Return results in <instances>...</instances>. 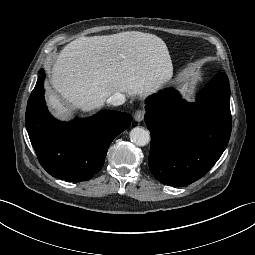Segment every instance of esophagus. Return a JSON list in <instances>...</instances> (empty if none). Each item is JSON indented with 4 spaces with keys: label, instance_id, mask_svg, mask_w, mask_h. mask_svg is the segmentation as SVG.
Here are the masks:
<instances>
[{
    "label": "esophagus",
    "instance_id": "34e87169",
    "mask_svg": "<svg viewBox=\"0 0 255 255\" xmlns=\"http://www.w3.org/2000/svg\"><path fill=\"white\" fill-rule=\"evenodd\" d=\"M144 118V111L143 110H137L134 114V119L137 122H141Z\"/></svg>",
    "mask_w": 255,
    "mask_h": 255
}]
</instances>
